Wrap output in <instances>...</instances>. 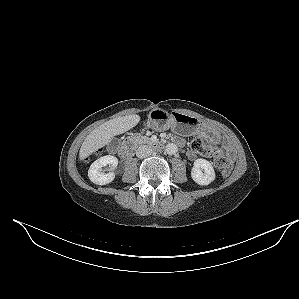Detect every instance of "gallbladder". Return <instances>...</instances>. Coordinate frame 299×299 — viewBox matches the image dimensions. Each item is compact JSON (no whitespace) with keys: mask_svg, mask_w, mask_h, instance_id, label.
<instances>
[{"mask_svg":"<svg viewBox=\"0 0 299 299\" xmlns=\"http://www.w3.org/2000/svg\"><path fill=\"white\" fill-rule=\"evenodd\" d=\"M117 141H118L117 138L112 139V142H114V143H117Z\"/></svg>","mask_w":299,"mask_h":299,"instance_id":"bac80fb5","label":"gallbladder"}]
</instances>
